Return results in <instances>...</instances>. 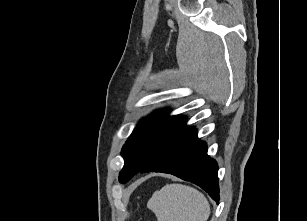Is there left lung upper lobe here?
Masks as SVG:
<instances>
[{
  "label": "left lung upper lobe",
  "instance_id": "left-lung-upper-lobe-1",
  "mask_svg": "<svg viewBox=\"0 0 307 221\" xmlns=\"http://www.w3.org/2000/svg\"><path fill=\"white\" fill-rule=\"evenodd\" d=\"M166 110H158L155 119L143 120L136 126L122 148L124 166L119 181L124 183L158 156L169 144L193 127L185 125L184 116H167Z\"/></svg>",
  "mask_w": 307,
  "mask_h": 221
}]
</instances>
